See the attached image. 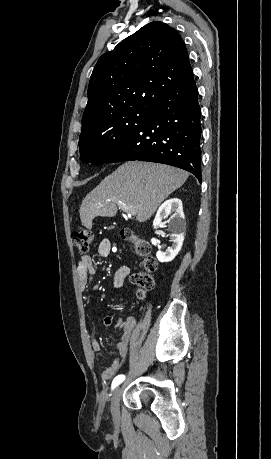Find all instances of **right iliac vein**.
<instances>
[{"mask_svg":"<svg viewBox=\"0 0 271 459\" xmlns=\"http://www.w3.org/2000/svg\"><path fill=\"white\" fill-rule=\"evenodd\" d=\"M121 396V388L117 387L111 397V414L114 418H119V401Z\"/></svg>","mask_w":271,"mask_h":459,"instance_id":"63e3f726","label":"right iliac vein"}]
</instances>
